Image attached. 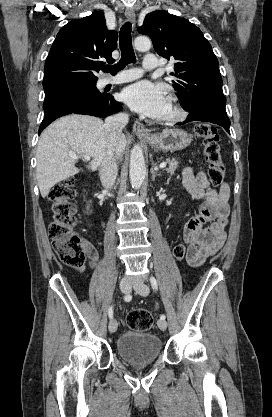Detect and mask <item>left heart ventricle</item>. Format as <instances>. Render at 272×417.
Returning <instances> with one entry per match:
<instances>
[{
	"label": "left heart ventricle",
	"mask_w": 272,
	"mask_h": 417,
	"mask_svg": "<svg viewBox=\"0 0 272 417\" xmlns=\"http://www.w3.org/2000/svg\"><path fill=\"white\" fill-rule=\"evenodd\" d=\"M169 113H170V105L168 103V106H167V108H166L165 113L163 114V116H165V115H167Z\"/></svg>",
	"instance_id": "1"
}]
</instances>
